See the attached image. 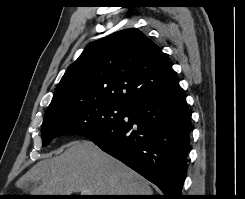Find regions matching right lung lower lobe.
Wrapping results in <instances>:
<instances>
[{"mask_svg":"<svg viewBox=\"0 0 245 199\" xmlns=\"http://www.w3.org/2000/svg\"><path fill=\"white\" fill-rule=\"evenodd\" d=\"M191 113L179 84L128 107L124 117L89 139L158 186L164 199H181Z\"/></svg>","mask_w":245,"mask_h":199,"instance_id":"obj_1","label":"right lung lower lobe"}]
</instances>
